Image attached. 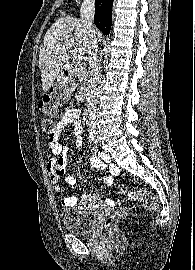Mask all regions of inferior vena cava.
I'll return each mask as SVG.
<instances>
[{"label":"inferior vena cava","instance_id":"inferior-vena-cava-1","mask_svg":"<svg viewBox=\"0 0 195 270\" xmlns=\"http://www.w3.org/2000/svg\"><path fill=\"white\" fill-rule=\"evenodd\" d=\"M95 10V0H84L81 9V21L89 33V45L87 52L89 54V76L90 89L89 96L86 103V119L90 131H96V115L98 98L101 88V65L98 56V41L95 28L93 26Z\"/></svg>","mask_w":195,"mask_h":270}]
</instances>
